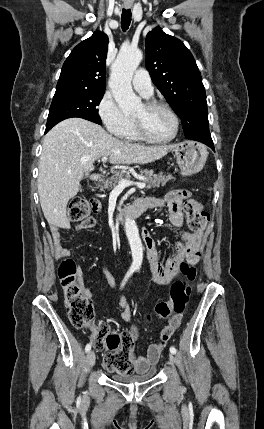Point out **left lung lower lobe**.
Returning a JSON list of instances; mask_svg holds the SVG:
<instances>
[{
  "label": "left lung lower lobe",
  "instance_id": "1",
  "mask_svg": "<svg viewBox=\"0 0 264 429\" xmlns=\"http://www.w3.org/2000/svg\"><path fill=\"white\" fill-rule=\"evenodd\" d=\"M193 140L202 142V143L206 144L207 146H209L213 151H215L211 135L197 137Z\"/></svg>",
  "mask_w": 264,
  "mask_h": 429
}]
</instances>
